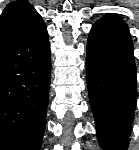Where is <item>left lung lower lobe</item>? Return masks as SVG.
<instances>
[{
  "label": "left lung lower lobe",
  "instance_id": "left-lung-lower-lobe-1",
  "mask_svg": "<svg viewBox=\"0 0 139 150\" xmlns=\"http://www.w3.org/2000/svg\"><path fill=\"white\" fill-rule=\"evenodd\" d=\"M86 75L98 140L106 150H125L137 101L133 43L114 14L97 21L87 41Z\"/></svg>",
  "mask_w": 139,
  "mask_h": 150
}]
</instances>
